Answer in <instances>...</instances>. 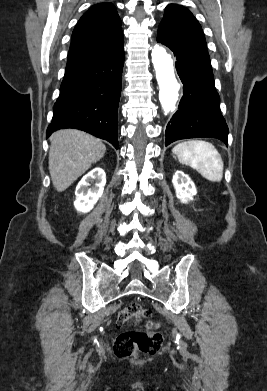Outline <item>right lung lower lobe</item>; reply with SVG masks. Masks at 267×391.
<instances>
[{"label":"right lung lower lobe","instance_id":"1","mask_svg":"<svg viewBox=\"0 0 267 391\" xmlns=\"http://www.w3.org/2000/svg\"><path fill=\"white\" fill-rule=\"evenodd\" d=\"M123 65L122 45L66 66L46 137L59 129L76 128L105 139L118 149L117 111Z\"/></svg>","mask_w":267,"mask_h":391}]
</instances>
